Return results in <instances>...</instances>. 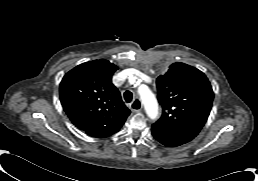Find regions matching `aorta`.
<instances>
[{"mask_svg": "<svg viewBox=\"0 0 258 181\" xmlns=\"http://www.w3.org/2000/svg\"><path fill=\"white\" fill-rule=\"evenodd\" d=\"M139 94L148 117L156 119L158 116V103L154 94L147 88L139 89Z\"/></svg>", "mask_w": 258, "mask_h": 181, "instance_id": "aorta-1", "label": "aorta"}]
</instances>
